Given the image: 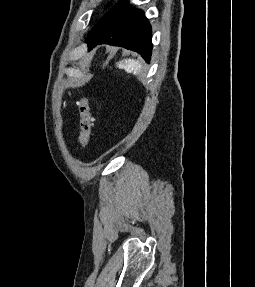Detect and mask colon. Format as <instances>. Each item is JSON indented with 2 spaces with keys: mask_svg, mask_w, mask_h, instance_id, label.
<instances>
[{
  "mask_svg": "<svg viewBox=\"0 0 255 287\" xmlns=\"http://www.w3.org/2000/svg\"><path fill=\"white\" fill-rule=\"evenodd\" d=\"M80 114L79 142L83 149H87L92 137L93 116L91 114L88 99L83 97L78 104Z\"/></svg>",
  "mask_w": 255,
  "mask_h": 287,
  "instance_id": "obj_1",
  "label": "colon"
}]
</instances>
